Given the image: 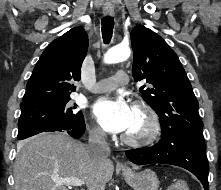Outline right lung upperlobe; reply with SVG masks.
Returning a JSON list of instances; mask_svg holds the SVG:
<instances>
[{
	"label": "right lung upper lobe",
	"mask_w": 221,
	"mask_h": 190,
	"mask_svg": "<svg viewBox=\"0 0 221 190\" xmlns=\"http://www.w3.org/2000/svg\"><path fill=\"white\" fill-rule=\"evenodd\" d=\"M88 49V37L81 27L53 40L38 60L27 83L20 106L70 97L76 90L81 65Z\"/></svg>",
	"instance_id": "1"
}]
</instances>
